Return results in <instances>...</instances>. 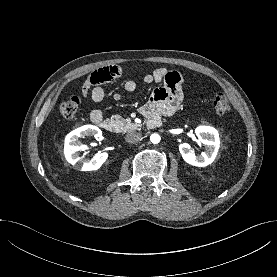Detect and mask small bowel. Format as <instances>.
Returning <instances> with one entry per match:
<instances>
[{
	"label": "small bowel",
	"instance_id": "1",
	"mask_svg": "<svg viewBox=\"0 0 277 277\" xmlns=\"http://www.w3.org/2000/svg\"><path fill=\"white\" fill-rule=\"evenodd\" d=\"M121 75V69L116 65L102 67L94 71L88 78L82 93L85 97H90L95 103H100L105 97L103 84L114 81ZM145 84L156 83L159 86L154 89L150 99L140 107V112L144 116L161 115L172 116L179 108L183 100L182 77L178 72L168 71L165 68L155 69L153 72L140 77ZM126 92L132 93L137 89L135 80H126L123 84ZM115 100L123 98L122 93L114 94ZM93 122L103 118L100 109L94 108L90 112Z\"/></svg>",
	"mask_w": 277,
	"mask_h": 277
}]
</instances>
